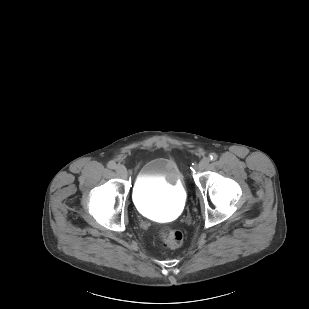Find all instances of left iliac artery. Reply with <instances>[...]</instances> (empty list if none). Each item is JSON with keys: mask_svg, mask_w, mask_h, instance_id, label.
Segmentation results:
<instances>
[{"mask_svg": "<svg viewBox=\"0 0 309 309\" xmlns=\"http://www.w3.org/2000/svg\"><path fill=\"white\" fill-rule=\"evenodd\" d=\"M217 154L216 153H211L210 155H209V160H211V161H215L216 159H217Z\"/></svg>", "mask_w": 309, "mask_h": 309, "instance_id": "1", "label": "left iliac artery"}]
</instances>
